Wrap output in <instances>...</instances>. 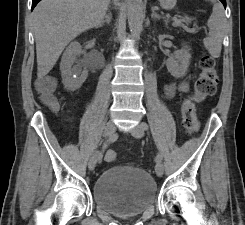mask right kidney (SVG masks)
Here are the masks:
<instances>
[{
  "label": "right kidney",
  "instance_id": "obj_1",
  "mask_svg": "<svg viewBox=\"0 0 245 225\" xmlns=\"http://www.w3.org/2000/svg\"><path fill=\"white\" fill-rule=\"evenodd\" d=\"M81 54V45L79 42H71L63 53L60 70L62 83L69 91L79 89L85 82L88 71L82 70L80 63L77 61V56ZM74 63H78L74 65Z\"/></svg>",
  "mask_w": 245,
  "mask_h": 225
}]
</instances>
